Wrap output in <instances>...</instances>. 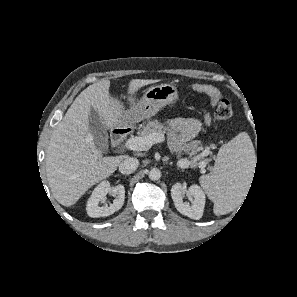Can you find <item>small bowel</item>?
Instances as JSON below:
<instances>
[{"mask_svg":"<svg viewBox=\"0 0 297 297\" xmlns=\"http://www.w3.org/2000/svg\"><path fill=\"white\" fill-rule=\"evenodd\" d=\"M211 123V116L208 112L203 110V120L193 118H175L167 122L170 129L169 140L171 147L177 149L182 144L191 141L202 130V128L209 126ZM174 131H179L177 135Z\"/></svg>","mask_w":297,"mask_h":297,"instance_id":"1","label":"small bowel"}]
</instances>
